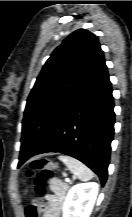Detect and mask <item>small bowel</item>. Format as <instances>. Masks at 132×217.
<instances>
[{"instance_id":"obj_1","label":"small bowel","mask_w":132,"mask_h":217,"mask_svg":"<svg viewBox=\"0 0 132 217\" xmlns=\"http://www.w3.org/2000/svg\"><path fill=\"white\" fill-rule=\"evenodd\" d=\"M51 193L46 196L47 204L41 205L39 201H35V205L43 210L42 217H60L63 203L68 191V185L58 178L50 181ZM26 217H28L26 212Z\"/></svg>"}]
</instances>
